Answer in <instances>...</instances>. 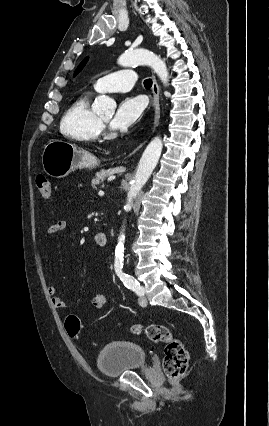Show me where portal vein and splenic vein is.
<instances>
[{
  "mask_svg": "<svg viewBox=\"0 0 269 426\" xmlns=\"http://www.w3.org/2000/svg\"><path fill=\"white\" fill-rule=\"evenodd\" d=\"M98 195H99V196H103V195H104V192H103V191H99V192H98Z\"/></svg>",
  "mask_w": 269,
  "mask_h": 426,
  "instance_id": "obj_1",
  "label": "portal vein and splenic vein"
}]
</instances>
